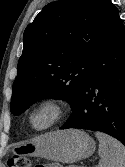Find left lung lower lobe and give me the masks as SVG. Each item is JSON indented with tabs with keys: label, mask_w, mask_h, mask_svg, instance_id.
<instances>
[{
	"label": "left lung lower lobe",
	"mask_w": 125,
	"mask_h": 167,
	"mask_svg": "<svg viewBox=\"0 0 125 167\" xmlns=\"http://www.w3.org/2000/svg\"><path fill=\"white\" fill-rule=\"evenodd\" d=\"M61 129L104 132L125 145V32L119 15L104 36Z\"/></svg>",
	"instance_id": "0a47b994"
}]
</instances>
